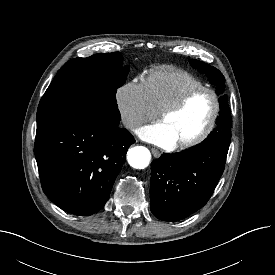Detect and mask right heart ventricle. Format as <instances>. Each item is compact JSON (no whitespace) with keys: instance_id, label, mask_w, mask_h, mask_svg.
<instances>
[{"instance_id":"e07e8e85","label":"right heart ventricle","mask_w":275,"mask_h":275,"mask_svg":"<svg viewBox=\"0 0 275 275\" xmlns=\"http://www.w3.org/2000/svg\"><path fill=\"white\" fill-rule=\"evenodd\" d=\"M143 84L156 112L172 104L188 90L204 86L198 77L172 67L150 70Z\"/></svg>"}]
</instances>
